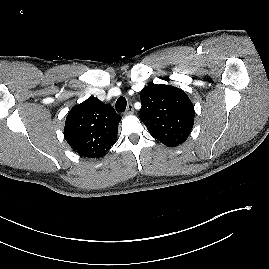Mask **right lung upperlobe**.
<instances>
[{"instance_id":"cb5924a9","label":"right lung upper lobe","mask_w":269,"mask_h":269,"mask_svg":"<svg viewBox=\"0 0 269 269\" xmlns=\"http://www.w3.org/2000/svg\"><path fill=\"white\" fill-rule=\"evenodd\" d=\"M120 120L112 106L90 97L70 110L64 136L80 156L100 158L115 144Z\"/></svg>"}]
</instances>
